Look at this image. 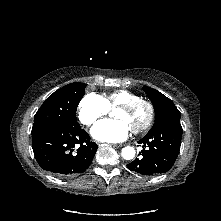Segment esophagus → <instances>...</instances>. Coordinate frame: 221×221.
I'll return each mask as SVG.
<instances>
[{
    "instance_id": "esophagus-1",
    "label": "esophagus",
    "mask_w": 221,
    "mask_h": 221,
    "mask_svg": "<svg viewBox=\"0 0 221 221\" xmlns=\"http://www.w3.org/2000/svg\"><path fill=\"white\" fill-rule=\"evenodd\" d=\"M112 146L115 147V148H120V147L123 146V144H115V143H114V144H112Z\"/></svg>"
}]
</instances>
